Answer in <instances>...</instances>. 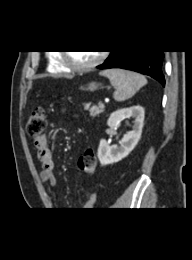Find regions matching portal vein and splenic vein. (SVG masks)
I'll use <instances>...</instances> for the list:
<instances>
[{"label":"portal vein and splenic vein","mask_w":192,"mask_h":260,"mask_svg":"<svg viewBox=\"0 0 192 260\" xmlns=\"http://www.w3.org/2000/svg\"><path fill=\"white\" fill-rule=\"evenodd\" d=\"M99 105H100L101 107H105L104 103H100Z\"/></svg>","instance_id":"obj_1"}]
</instances>
